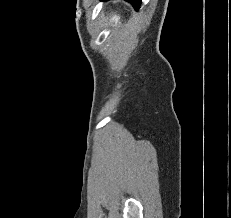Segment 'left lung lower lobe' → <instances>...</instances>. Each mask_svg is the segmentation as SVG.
Instances as JSON below:
<instances>
[{"mask_svg": "<svg viewBox=\"0 0 231 218\" xmlns=\"http://www.w3.org/2000/svg\"><path fill=\"white\" fill-rule=\"evenodd\" d=\"M126 1L131 3L135 7L136 10L139 9L140 4H141V0H126Z\"/></svg>", "mask_w": 231, "mask_h": 218, "instance_id": "obj_1", "label": "left lung lower lobe"}]
</instances>
